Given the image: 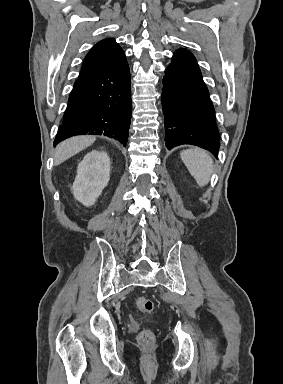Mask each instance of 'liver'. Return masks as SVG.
<instances>
[{"mask_svg": "<svg viewBox=\"0 0 283 384\" xmlns=\"http://www.w3.org/2000/svg\"><path fill=\"white\" fill-rule=\"evenodd\" d=\"M96 140V136H74L69 140H64L58 144L54 154V166H59L68 158H72L81 150H85L88 146H92Z\"/></svg>", "mask_w": 283, "mask_h": 384, "instance_id": "6515ba94", "label": "liver"}]
</instances>
